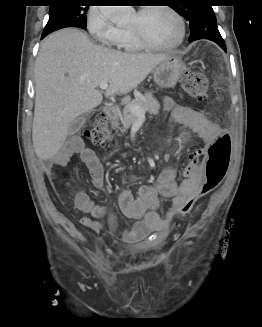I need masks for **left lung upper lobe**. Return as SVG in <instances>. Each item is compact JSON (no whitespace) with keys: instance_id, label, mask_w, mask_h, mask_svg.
<instances>
[{"instance_id":"left-lung-upper-lobe-1","label":"left lung upper lobe","mask_w":262,"mask_h":327,"mask_svg":"<svg viewBox=\"0 0 262 327\" xmlns=\"http://www.w3.org/2000/svg\"><path fill=\"white\" fill-rule=\"evenodd\" d=\"M201 4L177 6L173 5V8L187 21L190 22V30H204L215 26L216 17L212 6L207 4V1H198Z\"/></svg>"}]
</instances>
